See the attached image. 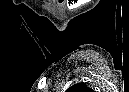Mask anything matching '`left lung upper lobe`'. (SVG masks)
I'll return each mask as SVG.
<instances>
[{"label":"left lung upper lobe","instance_id":"5c2ea615","mask_svg":"<svg viewBox=\"0 0 129 92\" xmlns=\"http://www.w3.org/2000/svg\"><path fill=\"white\" fill-rule=\"evenodd\" d=\"M66 92H93L85 83H77L66 90Z\"/></svg>","mask_w":129,"mask_h":92}]
</instances>
